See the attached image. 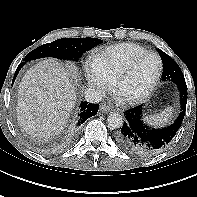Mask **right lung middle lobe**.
I'll list each match as a JSON object with an SVG mask.
<instances>
[{"label": "right lung middle lobe", "instance_id": "dd1d6c3e", "mask_svg": "<svg viewBox=\"0 0 197 197\" xmlns=\"http://www.w3.org/2000/svg\"><path fill=\"white\" fill-rule=\"evenodd\" d=\"M101 43L102 40L98 38H62L39 46L28 53L24 60L31 61L43 57H54L78 61L83 53Z\"/></svg>", "mask_w": 197, "mask_h": 197}]
</instances>
